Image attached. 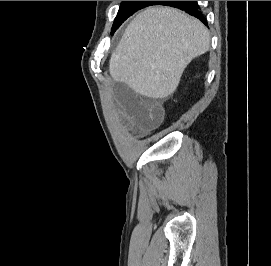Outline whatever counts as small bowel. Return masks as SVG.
I'll return each instance as SVG.
<instances>
[{"label": "small bowel", "instance_id": "obj_1", "mask_svg": "<svg viewBox=\"0 0 271 266\" xmlns=\"http://www.w3.org/2000/svg\"><path fill=\"white\" fill-rule=\"evenodd\" d=\"M115 94L124 120L142 131L158 126L163 119V105L159 99L144 98L132 87L133 72L128 66L115 71Z\"/></svg>", "mask_w": 271, "mask_h": 266}]
</instances>
